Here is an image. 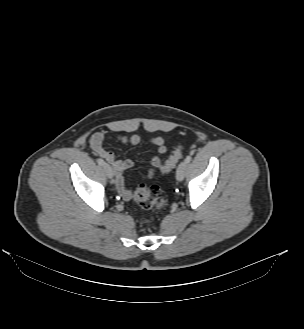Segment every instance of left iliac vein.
<instances>
[{"mask_svg": "<svg viewBox=\"0 0 304 329\" xmlns=\"http://www.w3.org/2000/svg\"><path fill=\"white\" fill-rule=\"evenodd\" d=\"M186 164L187 163L185 161L181 162L176 170V179L178 181H182L184 179L186 172Z\"/></svg>", "mask_w": 304, "mask_h": 329, "instance_id": "obj_1", "label": "left iliac vein"}]
</instances>
